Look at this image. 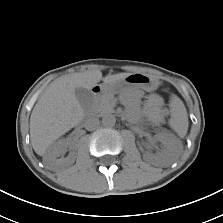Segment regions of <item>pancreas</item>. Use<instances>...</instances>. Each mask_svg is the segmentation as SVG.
<instances>
[{
    "label": "pancreas",
    "mask_w": 223,
    "mask_h": 223,
    "mask_svg": "<svg viewBox=\"0 0 223 223\" xmlns=\"http://www.w3.org/2000/svg\"><path fill=\"white\" fill-rule=\"evenodd\" d=\"M114 106L113 95L103 96L101 99L95 100L90 105V111L95 114H103L107 112H112Z\"/></svg>",
    "instance_id": "1"
}]
</instances>
